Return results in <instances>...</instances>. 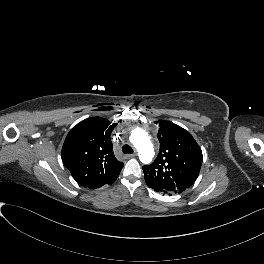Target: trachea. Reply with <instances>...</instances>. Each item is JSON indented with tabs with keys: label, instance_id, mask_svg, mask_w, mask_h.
Here are the masks:
<instances>
[{
	"label": "trachea",
	"instance_id": "trachea-1",
	"mask_svg": "<svg viewBox=\"0 0 264 264\" xmlns=\"http://www.w3.org/2000/svg\"><path fill=\"white\" fill-rule=\"evenodd\" d=\"M122 151L125 154H132L133 153V149L131 148V146H129L127 144L122 147Z\"/></svg>",
	"mask_w": 264,
	"mask_h": 264
}]
</instances>
